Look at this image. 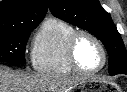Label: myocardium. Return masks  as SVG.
Instances as JSON below:
<instances>
[{"instance_id":"myocardium-1","label":"myocardium","mask_w":127,"mask_h":92,"mask_svg":"<svg viewBox=\"0 0 127 92\" xmlns=\"http://www.w3.org/2000/svg\"><path fill=\"white\" fill-rule=\"evenodd\" d=\"M81 37L90 38L99 47L101 54H102V63L100 65V67H98L97 69L86 70V69H83L79 66L77 59H76V55H75V49H76L77 42ZM66 57H67V61L70 65V67L75 72L80 73V74L98 73L104 69V67L106 66V63H107V51H106L103 43L101 42V40L96 35H94L93 33L89 32V31H86V30H76L69 37V39L67 41V45H66Z\"/></svg>"}]
</instances>
